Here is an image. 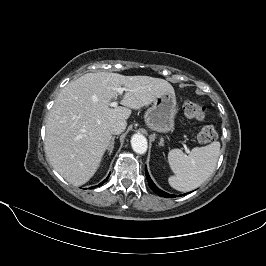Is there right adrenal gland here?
Here are the masks:
<instances>
[{"label":"right adrenal gland","instance_id":"obj_1","mask_svg":"<svg viewBox=\"0 0 266 266\" xmlns=\"http://www.w3.org/2000/svg\"><path fill=\"white\" fill-rule=\"evenodd\" d=\"M115 136H113L112 137V140H111V143H110V145H109V147H108V152H109V155H111V153H112V151H113V149H114V144H115Z\"/></svg>","mask_w":266,"mask_h":266}]
</instances>
